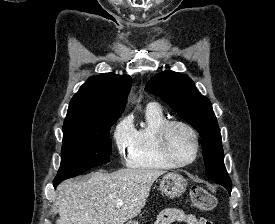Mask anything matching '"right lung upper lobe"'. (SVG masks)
<instances>
[{
    "mask_svg": "<svg viewBox=\"0 0 275 224\" xmlns=\"http://www.w3.org/2000/svg\"><path fill=\"white\" fill-rule=\"evenodd\" d=\"M131 83L128 75L91 76L71 99L64 124L118 119Z\"/></svg>",
    "mask_w": 275,
    "mask_h": 224,
    "instance_id": "cb5924a9",
    "label": "right lung upper lobe"
}]
</instances>
